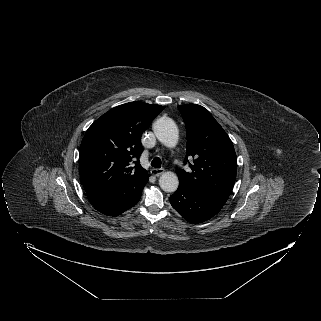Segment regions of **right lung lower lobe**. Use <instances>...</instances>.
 Here are the masks:
<instances>
[{
	"label": "right lung lower lobe",
	"mask_w": 321,
	"mask_h": 321,
	"mask_svg": "<svg viewBox=\"0 0 321 321\" xmlns=\"http://www.w3.org/2000/svg\"><path fill=\"white\" fill-rule=\"evenodd\" d=\"M142 193V192H141ZM141 194L133 197L132 199L126 200L122 203L119 201H112L106 204H93L94 208L101 212L102 214L109 216H117L126 211L127 209L133 207L139 200Z\"/></svg>",
	"instance_id": "98d812e1"
}]
</instances>
